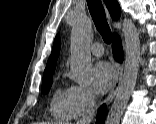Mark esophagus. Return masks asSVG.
Returning a JSON list of instances; mask_svg holds the SVG:
<instances>
[{
    "instance_id": "esophagus-1",
    "label": "esophagus",
    "mask_w": 156,
    "mask_h": 124,
    "mask_svg": "<svg viewBox=\"0 0 156 124\" xmlns=\"http://www.w3.org/2000/svg\"><path fill=\"white\" fill-rule=\"evenodd\" d=\"M106 14H107L108 21L111 22L112 19L110 17L108 10H106ZM115 71H116L115 80H114L112 89H111V91H110V93L106 99V105H109L112 102L116 93L119 90L120 83H121L122 76H123V65L121 63H115Z\"/></svg>"
}]
</instances>
